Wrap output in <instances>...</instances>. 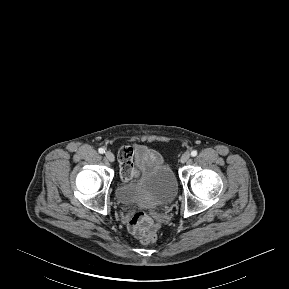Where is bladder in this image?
<instances>
[{
    "label": "bladder",
    "instance_id": "1",
    "mask_svg": "<svg viewBox=\"0 0 289 289\" xmlns=\"http://www.w3.org/2000/svg\"><path fill=\"white\" fill-rule=\"evenodd\" d=\"M140 179L136 183H121L115 188L116 200L125 206H166L177 195L176 177L165 162L151 161L145 148L137 151Z\"/></svg>",
    "mask_w": 289,
    "mask_h": 289
}]
</instances>
